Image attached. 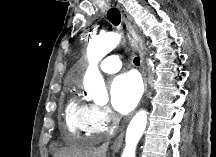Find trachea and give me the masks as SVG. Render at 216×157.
Returning <instances> with one entry per match:
<instances>
[{
	"label": "trachea",
	"instance_id": "trachea-1",
	"mask_svg": "<svg viewBox=\"0 0 216 157\" xmlns=\"http://www.w3.org/2000/svg\"><path fill=\"white\" fill-rule=\"evenodd\" d=\"M107 18L113 25L118 26L121 22L120 11L117 8L109 9V11L107 12ZM133 62L135 65H140V58H134Z\"/></svg>",
	"mask_w": 216,
	"mask_h": 157
}]
</instances>
